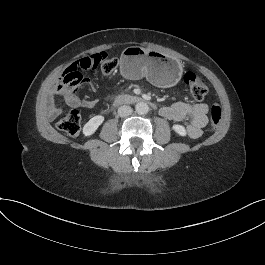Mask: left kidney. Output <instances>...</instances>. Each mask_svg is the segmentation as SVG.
Instances as JSON below:
<instances>
[{
    "instance_id": "left-kidney-1",
    "label": "left kidney",
    "mask_w": 265,
    "mask_h": 265,
    "mask_svg": "<svg viewBox=\"0 0 265 265\" xmlns=\"http://www.w3.org/2000/svg\"><path fill=\"white\" fill-rule=\"evenodd\" d=\"M171 129L180 137H187L188 136V131L186 127L180 123H174L171 126Z\"/></svg>"
}]
</instances>
